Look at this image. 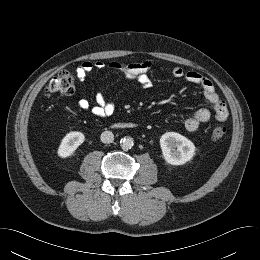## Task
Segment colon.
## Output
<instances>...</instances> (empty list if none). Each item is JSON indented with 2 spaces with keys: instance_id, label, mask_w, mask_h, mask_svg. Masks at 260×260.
<instances>
[{
  "instance_id": "1",
  "label": "colon",
  "mask_w": 260,
  "mask_h": 260,
  "mask_svg": "<svg viewBox=\"0 0 260 260\" xmlns=\"http://www.w3.org/2000/svg\"><path fill=\"white\" fill-rule=\"evenodd\" d=\"M47 95L59 93L70 95L74 92V78L68 71L58 72L47 84L45 88ZM227 129L222 124H214L211 127V138L214 141L221 140L226 135Z\"/></svg>"
}]
</instances>
